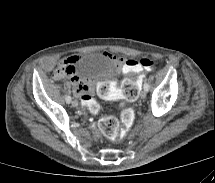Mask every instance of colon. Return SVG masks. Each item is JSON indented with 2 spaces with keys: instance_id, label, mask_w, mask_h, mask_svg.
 <instances>
[{
  "instance_id": "colon-1",
  "label": "colon",
  "mask_w": 215,
  "mask_h": 183,
  "mask_svg": "<svg viewBox=\"0 0 215 183\" xmlns=\"http://www.w3.org/2000/svg\"><path fill=\"white\" fill-rule=\"evenodd\" d=\"M140 66L145 70H152L155 67V62L150 59H141L139 61H128L125 71L131 76L127 78L121 88L123 102L120 103V121L113 116H103L99 120V129L103 135L110 139H117L122 130H126L134 122L135 114L132 108L128 107L125 102H131L137 99L140 83L132 75H135L136 67ZM70 74L68 67L61 65L57 69V76L62 77ZM82 104L91 113L96 114L100 111L99 103L94 100L91 94L85 93L81 96Z\"/></svg>"
}]
</instances>
